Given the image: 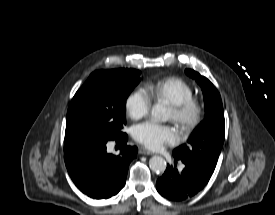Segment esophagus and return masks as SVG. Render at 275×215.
<instances>
[{
    "label": "esophagus",
    "mask_w": 275,
    "mask_h": 215,
    "mask_svg": "<svg viewBox=\"0 0 275 215\" xmlns=\"http://www.w3.org/2000/svg\"><path fill=\"white\" fill-rule=\"evenodd\" d=\"M139 153L143 154V155H152L153 154L150 150H148V149H146L144 147H140L139 148Z\"/></svg>",
    "instance_id": "esophagus-1"
}]
</instances>
